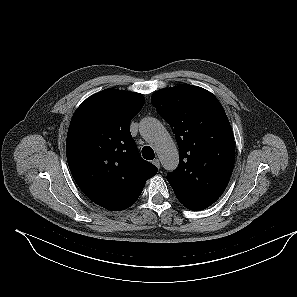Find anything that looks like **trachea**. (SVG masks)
<instances>
[{
	"mask_svg": "<svg viewBox=\"0 0 297 297\" xmlns=\"http://www.w3.org/2000/svg\"><path fill=\"white\" fill-rule=\"evenodd\" d=\"M142 156L147 160H153L155 157L154 151L150 146H144L142 149Z\"/></svg>",
	"mask_w": 297,
	"mask_h": 297,
	"instance_id": "obj_1",
	"label": "trachea"
}]
</instances>
